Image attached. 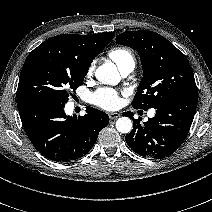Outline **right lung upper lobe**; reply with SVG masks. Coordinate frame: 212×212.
<instances>
[{
	"label": "right lung upper lobe",
	"mask_w": 212,
	"mask_h": 212,
	"mask_svg": "<svg viewBox=\"0 0 212 212\" xmlns=\"http://www.w3.org/2000/svg\"><path fill=\"white\" fill-rule=\"evenodd\" d=\"M113 37L114 33L111 32L93 35H58L35 48L26 60L45 58L81 69H89L93 58L104 49ZM101 48L103 49L99 52Z\"/></svg>",
	"instance_id": "cb5924a9"
}]
</instances>
